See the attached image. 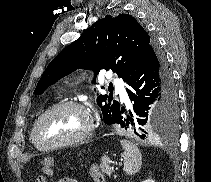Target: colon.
I'll list each match as a JSON object with an SVG mask.
<instances>
[{
	"instance_id": "1",
	"label": "colon",
	"mask_w": 211,
	"mask_h": 182,
	"mask_svg": "<svg viewBox=\"0 0 211 182\" xmlns=\"http://www.w3.org/2000/svg\"><path fill=\"white\" fill-rule=\"evenodd\" d=\"M52 172V167L50 165L47 164L43 167V173L45 175L50 176L52 175ZM90 174L94 182H105V177L98 165H92ZM34 182H45V177L43 175L38 176Z\"/></svg>"
}]
</instances>
